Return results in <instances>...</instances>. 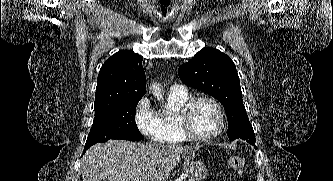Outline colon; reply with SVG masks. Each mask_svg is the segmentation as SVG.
Listing matches in <instances>:
<instances>
[{"mask_svg": "<svg viewBox=\"0 0 333 181\" xmlns=\"http://www.w3.org/2000/svg\"><path fill=\"white\" fill-rule=\"evenodd\" d=\"M228 164L231 169L240 171L245 165V160L241 156H231Z\"/></svg>", "mask_w": 333, "mask_h": 181, "instance_id": "5ec220e1", "label": "colon"}]
</instances>
